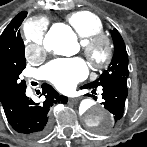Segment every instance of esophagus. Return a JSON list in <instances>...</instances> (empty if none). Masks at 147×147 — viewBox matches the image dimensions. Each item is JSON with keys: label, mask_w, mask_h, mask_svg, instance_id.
Here are the masks:
<instances>
[{"label": "esophagus", "mask_w": 147, "mask_h": 147, "mask_svg": "<svg viewBox=\"0 0 147 147\" xmlns=\"http://www.w3.org/2000/svg\"><path fill=\"white\" fill-rule=\"evenodd\" d=\"M69 101L70 102H77L78 101V98H69Z\"/></svg>", "instance_id": "34e87169"}]
</instances>
